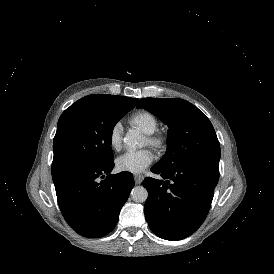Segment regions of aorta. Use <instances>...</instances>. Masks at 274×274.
Wrapping results in <instances>:
<instances>
[{
	"label": "aorta",
	"instance_id": "762f6f07",
	"mask_svg": "<svg viewBox=\"0 0 274 274\" xmlns=\"http://www.w3.org/2000/svg\"><path fill=\"white\" fill-rule=\"evenodd\" d=\"M124 141L130 148H141L144 145L142 135L136 130H129ZM131 197L135 202H145L148 198V191L143 186H136L131 191Z\"/></svg>",
	"mask_w": 274,
	"mask_h": 274
}]
</instances>
